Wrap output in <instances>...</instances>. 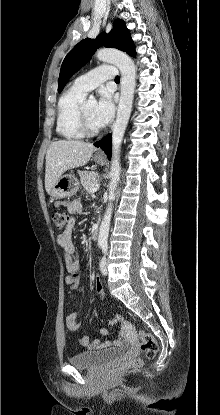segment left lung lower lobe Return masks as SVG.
Masks as SVG:
<instances>
[{
  "mask_svg": "<svg viewBox=\"0 0 220 415\" xmlns=\"http://www.w3.org/2000/svg\"><path fill=\"white\" fill-rule=\"evenodd\" d=\"M94 145L96 147H101V149L107 154V157L111 158V151H112V143H111V135L109 134L104 139L95 142Z\"/></svg>",
  "mask_w": 220,
  "mask_h": 415,
  "instance_id": "left-lung-lower-lobe-1",
  "label": "left lung lower lobe"
}]
</instances>
